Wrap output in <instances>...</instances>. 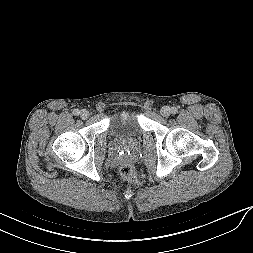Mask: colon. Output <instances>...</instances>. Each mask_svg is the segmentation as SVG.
Here are the masks:
<instances>
[{"label":"colon","mask_w":253,"mask_h":253,"mask_svg":"<svg viewBox=\"0 0 253 253\" xmlns=\"http://www.w3.org/2000/svg\"><path fill=\"white\" fill-rule=\"evenodd\" d=\"M120 175L128 182H134L136 180V171L131 164H124L120 168Z\"/></svg>","instance_id":"colon-1"}]
</instances>
